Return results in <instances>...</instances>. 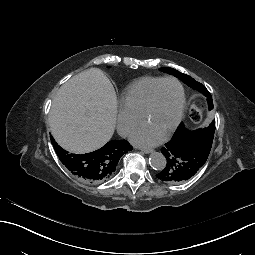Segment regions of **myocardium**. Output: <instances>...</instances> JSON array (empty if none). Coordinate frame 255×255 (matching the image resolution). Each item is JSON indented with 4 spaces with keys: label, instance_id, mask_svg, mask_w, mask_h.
<instances>
[{
    "label": "myocardium",
    "instance_id": "obj_1",
    "mask_svg": "<svg viewBox=\"0 0 255 255\" xmlns=\"http://www.w3.org/2000/svg\"><path fill=\"white\" fill-rule=\"evenodd\" d=\"M166 82H173L176 83L179 86L180 89V95H181V102H180V107H179V112H178V116L174 122V124L171 126V128L169 129V131L167 132V134L163 137V140H168L170 139V137L175 133V131L178 129V127L180 126L183 116H184V112H185V107H186V95H185V90L184 87L182 85V83L174 78V77H166L163 78L160 82H158L151 90L148 100L141 112L140 115V122L142 123V121L144 120L145 117L148 116V114L150 113L153 105H154V100H155V96L156 93L158 91V89L160 88L161 85H163Z\"/></svg>",
    "mask_w": 255,
    "mask_h": 255
}]
</instances>
